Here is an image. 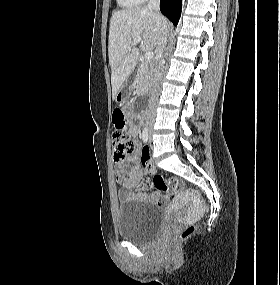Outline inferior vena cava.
Masks as SVG:
<instances>
[{"label":"inferior vena cava","instance_id":"inferior-vena-cava-1","mask_svg":"<svg viewBox=\"0 0 280 285\" xmlns=\"http://www.w3.org/2000/svg\"><path fill=\"white\" fill-rule=\"evenodd\" d=\"M160 0H149L147 9L154 11L157 20V27L160 29L158 44L155 50L156 62L154 65V76L149 94L148 110L146 112V123L152 124L155 119V106L161 92V83L164 73L163 54L167 44V31L161 27L162 17L159 13Z\"/></svg>","mask_w":280,"mask_h":285}]
</instances>
